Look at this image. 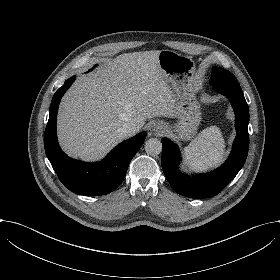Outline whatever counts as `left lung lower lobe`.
Wrapping results in <instances>:
<instances>
[{
	"instance_id": "left-lung-lower-lobe-1",
	"label": "left lung lower lobe",
	"mask_w": 280,
	"mask_h": 280,
	"mask_svg": "<svg viewBox=\"0 0 280 280\" xmlns=\"http://www.w3.org/2000/svg\"><path fill=\"white\" fill-rule=\"evenodd\" d=\"M228 97L236 115L237 136L227 161L218 169L207 174L187 176L178 169L181 159L176 144L162 139L161 164L171 187L180 195L190 198H208L220 193L237 175L245 163L249 148V109L238 81L214 85Z\"/></svg>"
}]
</instances>
